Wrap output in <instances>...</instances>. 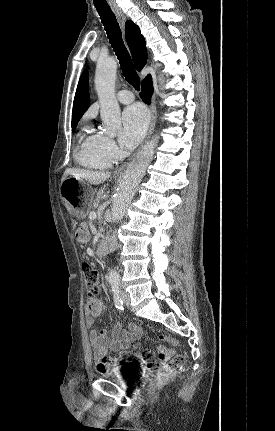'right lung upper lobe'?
<instances>
[{
    "label": "right lung upper lobe",
    "instance_id": "right-lung-upper-lobe-1",
    "mask_svg": "<svg viewBox=\"0 0 275 431\" xmlns=\"http://www.w3.org/2000/svg\"><path fill=\"white\" fill-rule=\"evenodd\" d=\"M125 37L132 53V58L135 67L140 71L147 62V51L144 37L141 35L139 27L132 21H127L125 24ZM90 105L88 93V73L86 71L80 77L72 112V126H77L80 118L86 112Z\"/></svg>",
    "mask_w": 275,
    "mask_h": 431
}]
</instances>
